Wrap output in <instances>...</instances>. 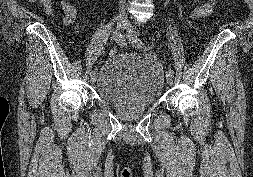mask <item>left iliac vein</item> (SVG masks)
I'll use <instances>...</instances> for the list:
<instances>
[{"label": "left iliac vein", "mask_w": 253, "mask_h": 177, "mask_svg": "<svg viewBox=\"0 0 253 177\" xmlns=\"http://www.w3.org/2000/svg\"><path fill=\"white\" fill-rule=\"evenodd\" d=\"M126 28H127V32H128V35L129 37L128 40L130 43L134 44L133 41H132V38L133 37H137L138 38V35L133 31L132 27H131V24L128 20H126ZM173 78H174V75H167L166 76V81L169 85H172L173 84Z\"/></svg>", "instance_id": "1"}]
</instances>
